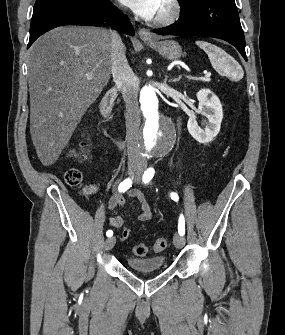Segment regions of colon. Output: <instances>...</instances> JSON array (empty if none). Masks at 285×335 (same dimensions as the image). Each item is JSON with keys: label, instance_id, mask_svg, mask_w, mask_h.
Wrapping results in <instances>:
<instances>
[{"label": "colon", "instance_id": "colon-1", "mask_svg": "<svg viewBox=\"0 0 285 335\" xmlns=\"http://www.w3.org/2000/svg\"><path fill=\"white\" fill-rule=\"evenodd\" d=\"M86 143L79 145L77 149H73L70 155L79 161H84L86 158ZM63 177L65 182L71 187H81L82 193L85 196L91 195L95 191V187L92 185H83V175L78 168H69L64 171ZM131 236V230L126 228L122 233V240L127 241ZM168 246V241L164 238H158L151 247L144 244H138L133 247V253L136 256L143 257L147 255L150 251L161 252Z\"/></svg>", "mask_w": 285, "mask_h": 335}]
</instances>
